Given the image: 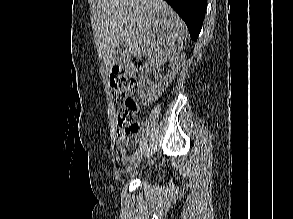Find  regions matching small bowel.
Masks as SVG:
<instances>
[{
  "label": "small bowel",
  "mask_w": 293,
  "mask_h": 219,
  "mask_svg": "<svg viewBox=\"0 0 293 219\" xmlns=\"http://www.w3.org/2000/svg\"><path fill=\"white\" fill-rule=\"evenodd\" d=\"M117 142L119 146V153L123 161L127 160V146L129 144V136L122 134L119 130L117 131Z\"/></svg>",
  "instance_id": "c3829d8e"
}]
</instances>
